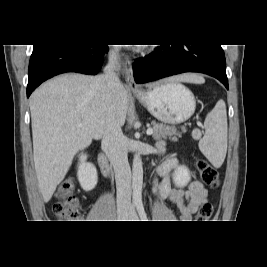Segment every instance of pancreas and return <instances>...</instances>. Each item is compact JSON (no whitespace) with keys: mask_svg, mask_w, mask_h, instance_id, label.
Listing matches in <instances>:
<instances>
[{"mask_svg":"<svg viewBox=\"0 0 267 267\" xmlns=\"http://www.w3.org/2000/svg\"><path fill=\"white\" fill-rule=\"evenodd\" d=\"M151 124L153 126V138L155 140L169 137V139L175 142L178 140L177 137H181V133H179L174 126L157 123L155 121H153ZM181 129L183 133L186 132L185 127H182Z\"/></svg>","mask_w":267,"mask_h":267,"instance_id":"obj_1","label":"pancreas"}]
</instances>
